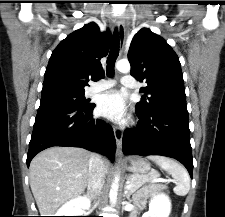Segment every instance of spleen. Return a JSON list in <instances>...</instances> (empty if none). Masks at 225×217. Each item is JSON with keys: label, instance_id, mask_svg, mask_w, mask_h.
<instances>
[{"label": "spleen", "instance_id": "3e777b00", "mask_svg": "<svg viewBox=\"0 0 225 217\" xmlns=\"http://www.w3.org/2000/svg\"><path fill=\"white\" fill-rule=\"evenodd\" d=\"M147 158L155 162L176 180L175 194L178 196L188 194L190 190V177L187 170L181 164L165 156L151 155Z\"/></svg>", "mask_w": 225, "mask_h": 217}]
</instances>
